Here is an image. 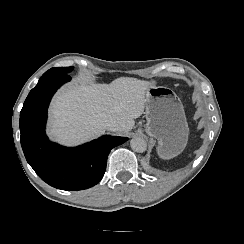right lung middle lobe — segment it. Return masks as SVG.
<instances>
[{"mask_svg": "<svg viewBox=\"0 0 244 244\" xmlns=\"http://www.w3.org/2000/svg\"><path fill=\"white\" fill-rule=\"evenodd\" d=\"M73 67H58V68H51L47 72H45L43 75L50 74V73H69Z\"/></svg>", "mask_w": 244, "mask_h": 244, "instance_id": "right-lung-middle-lobe-1", "label": "right lung middle lobe"}]
</instances>
